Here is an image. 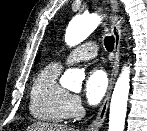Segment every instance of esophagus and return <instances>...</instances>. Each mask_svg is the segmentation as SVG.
Instances as JSON below:
<instances>
[{"mask_svg":"<svg viewBox=\"0 0 147 131\" xmlns=\"http://www.w3.org/2000/svg\"><path fill=\"white\" fill-rule=\"evenodd\" d=\"M110 4L111 11L115 15L118 14V3L117 0H107ZM111 31L114 36V57L112 62V71L109 80V86L105 98L102 102V105L99 109V112L95 118V120L88 126L86 131H99L102 127L106 113L108 110V105L111 97V92L118 74L119 69V58H120V46H121V24L120 21H113L111 25Z\"/></svg>","mask_w":147,"mask_h":131,"instance_id":"esophagus-1","label":"esophagus"}]
</instances>
